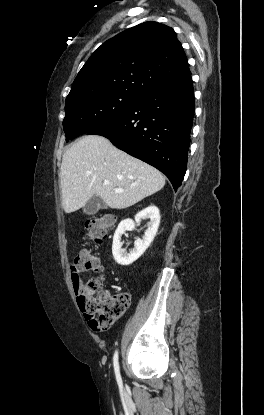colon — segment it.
Here are the masks:
<instances>
[{
    "label": "colon",
    "mask_w": 264,
    "mask_h": 415,
    "mask_svg": "<svg viewBox=\"0 0 264 415\" xmlns=\"http://www.w3.org/2000/svg\"><path fill=\"white\" fill-rule=\"evenodd\" d=\"M114 220L110 216L93 219L85 223L86 240L99 243L107 237ZM71 271L95 270L97 275L81 284L78 303L88 323L95 329H106L122 316L130 305L128 292L110 293L103 285L106 273L97 270V258L91 250L80 252L70 264Z\"/></svg>",
    "instance_id": "5ec220e1"
}]
</instances>
